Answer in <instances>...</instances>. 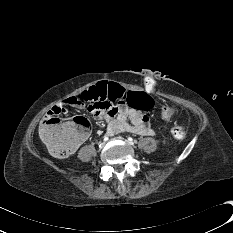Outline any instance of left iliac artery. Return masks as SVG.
<instances>
[{
	"label": "left iliac artery",
	"mask_w": 233,
	"mask_h": 233,
	"mask_svg": "<svg viewBox=\"0 0 233 233\" xmlns=\"http://www.w3.org/2000/svg\"><path fill=\"white\" fill-rule=\"evenodd\" d=\"M128 141H129L130 144H134V142H135V140L133 138H131V137L128 138Z\"/></svg>",
	"instance_id": "obj_1"
}]
</instances>
